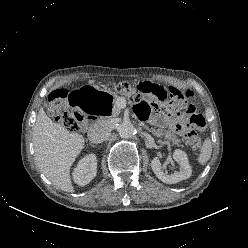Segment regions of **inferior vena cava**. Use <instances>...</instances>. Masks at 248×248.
I'll use <instances>...</instances> for the list:
<instances>
[{
    "mask_svg": "<svg viewBox=\"0 0 248 248\" xmlns=\"http://www.w3.org/2000/svg\"><path fill=\"white\" fill-rule=\"evenodd\" d=\"M111 130L110 121L100 120L89 129L88 139L91 143L100 144L109 136Z\"/></svg>",
    "mask_w": 248,
    "mask_h": 248,
    "instance_id": "inferior-vena-cava-1",
    "label": "inferior vena cava"
}]
</instances>
